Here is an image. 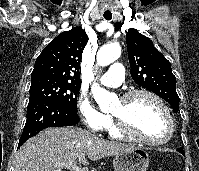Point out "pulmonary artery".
Listing matches in <instances>:
<instances>
[{"mask_svg":"<svg viewBox=\"0 0 199 171\" xmlns=\"http://www.w3.org/2000/svg\"><path fill=\"white\" fill-rule=\"evenodd\" d=\"M101 84L108 87H117L124 80V68L120 63H113L99 78Z\"/></svg>","mask_w":199,"mask_h":171,"instance_id":"1","label":"pulmonary artery"}]
</instances>
